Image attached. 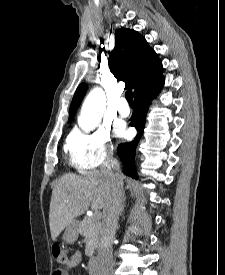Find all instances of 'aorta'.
<instances>
[{"label":"aorta","mask_w":225,"mask_h":275,"mask_svg":"<svg viewBox=\"0 0 225 275\" xmlns=\"http://www.w3.org/2000/svg\"><path fill=\"white\" fill-rule=\"evenodd\" d=\"M105 107L106 96L104 91L99 87L91 90L84 100L78 117L79 127L85 132L94 130L102 119Z\"/></svg>","instance_id":"762f6f07"}]
</instances>
